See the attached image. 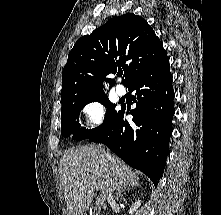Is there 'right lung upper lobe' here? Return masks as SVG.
Instances as JSON below:
<instances>
[{
	"mask_svg": "<svg viewBox=\"0 0 221 215\" xmlns=\"http://www.w3.org/2000/svg\"><path fill=\"white\" fill-rule=\"evenodd\" d=\"M166 57L160 39L145 19L133 13L115 17L73 46L62 72V105L105 94L103 77L117 68L124 70L128 87Z\"/></svg>",
	"mask_w": 221,
	"mask_h": 215,
	"instance_id": "cb5924a9",
	"label": "right lung upper lobe"
}]
</instances>
